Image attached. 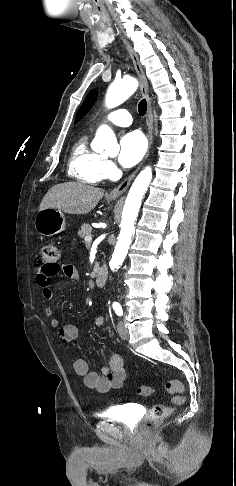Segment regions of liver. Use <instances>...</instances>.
Wrapping results in <instances>:
<instances>
[{
    "label": "liver",
    "mask_w": 236,
    "mask_h": 486,
    "mask_svg": "<svg viewBox=\"0 0 236 486\" xmlns=\"http://www.w3.org/2000/svg\"><path fill=\"white\" fill-rule=\"evenodd\" d=\"M103 195L102 189L84 183L57 184L46 193L39 210L51 208L68 214H87L95 208Z\"/></svg>",
    "instance_id": "1"
}]
</instances>
